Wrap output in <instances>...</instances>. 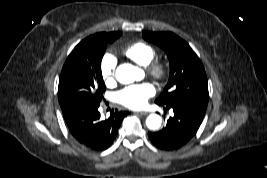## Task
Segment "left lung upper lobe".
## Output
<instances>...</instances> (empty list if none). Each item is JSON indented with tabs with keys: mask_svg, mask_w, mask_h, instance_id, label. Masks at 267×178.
Masks as SVG:
<instances>
[{
	"mask_svg": "<svg viewBox=\"0 0 267 178\" xmlns=\"http://www.w3.org/2000/svg\"><path fill=\"white\" fill-rule=\"evenodd\" d=\"M143 38L162 48L170 62L169 81L155 102L180 105L205 115L209 99L207 77L189 44L172 32L146 31Z\"/></svg>",
	"mask_w": 267,
	"mask_h": 178,
	"instance_id": "5c2ea615",
	"label": "left lung upper lobe"
}]
</instances>
